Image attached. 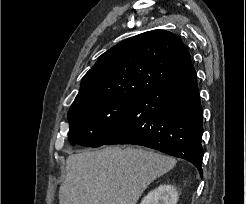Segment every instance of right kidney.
Segmentation results:
<instances>
[{
	"label": "right kidney",
	"instance_id": "right-kidney-1",
	"mask_svg": "<svg viewBox=\"0 0 246 204\" xmlns=\"http://www.w3.org/2000/svg\"><path fill=\"white\" fill-rule=\"evenodd\" d=\"M178 192L173 185H160L148 193L140 204H176Z\"/></svg>",
	"mask_w": 246,
	"mask_h": 204
}]
</instances>
